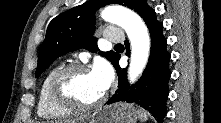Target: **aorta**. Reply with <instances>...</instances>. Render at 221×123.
<instances>
[{
  "label": "aorta",
  "mask_w": 221,
  "mask_h": 123,
  "mask_svg": "<svg viewBox=\"0 0 221 123\" xmlns=\"http://www.w3.org/2000/svg\"><path fill=\"white\" fill-rule=\"evenodd\" d=\"M104 21L121 26L127 33L131 45V60L128 80L133 83L143 72L150 53V38L144 22L133 11L120 7L108 6L102 13Z\"/></svg>",
  "instance_id": "1"
}]
</instances>
